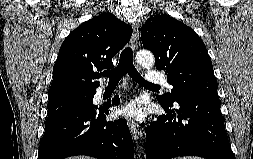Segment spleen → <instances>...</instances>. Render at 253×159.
Wrapping results in <instances>:
<instances>
[{"label": "spleen", "mask_w": 253, "mask_h": 159, "mask_svg": "<svg viewBox=\"0 0 253 159\" xmlns=\"http://www.w3.org/2000/svg\"><path fill=\"white\" fill-rule=\"evenodd\" d=\"M181 159H203V158L196 157V156H187V157H183Z\"/></svg>", "instance_id": "1"}]
</instances>
